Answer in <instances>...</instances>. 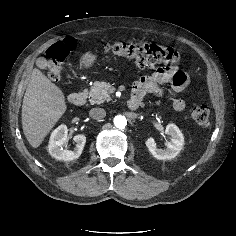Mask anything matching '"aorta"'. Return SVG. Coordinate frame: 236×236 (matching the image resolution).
<instances>
[{
  "mask_svg": "<svg viewBox=\"0 0 236 236\" xmlns=\"http://www.w3.org/2000/svg\"><path fill=\"white\" fill-rule=\"evenodd\" d=\"M114 125L118 129H124L125 126L127 125V120L124 116L122 115H117L114 118Z\"/></svg>",
  "mask_w": 236,
  "mask_h": 236,
  "instance_id": "aorta-1",
  "label": "aorta"
}]
</instances>
